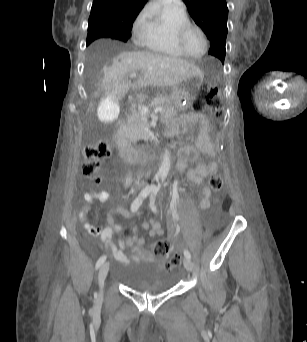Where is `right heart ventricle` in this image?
<instances>
[{
	"label": "right heart ventricle",
	"mask_w": 307,
	"mask_h": 342,
	"mask_svg": "<svg viewBox=\"0 0 307 342\" xmlns=\"http://www.w3.org/2000/svg\"><path fill=\"white\" fill-rule=\"evenodd\" d=\"M190 19V13L182 10H165L158 17L159 31L155 35L132 41L134 52L155 54L176 60L188 58L179 50L176 44V32L180 24Z\"/></svg>",
	"instance_id": "e07e8e85"
}]
</instances>
